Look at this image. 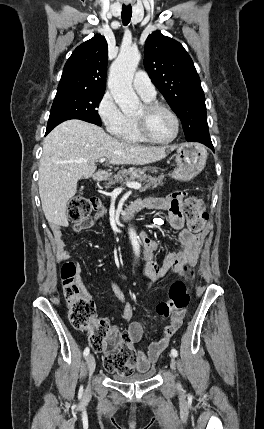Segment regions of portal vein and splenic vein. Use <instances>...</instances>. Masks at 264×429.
Wrapping results in <instances>:
<instances>
[{
  "label": "portal vein and splenic vein",
  "instance_id": "obj_1",
  "mask_svg": "<svg viewBox=\"0 0 264 429\" xmlns=\"http://www.w3.org/2000/svg\"><path fill=\"white\" fill-rule=\"evenodd\" d=\"M106 160V158L105 157H103V158H101V159H99V162H104ZM126 185L129 187V188H135V189H139V188H141V184L140 183H138V182H134V181H130V182H127L126 183Z\"/></svg>",
  "mask_w": 264,
  "mask_h": 429
}]
</instances>
